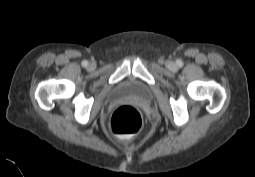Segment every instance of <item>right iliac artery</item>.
I'll return each instance as SVG.
<instances>
[{
	"label": "right iliac artery",
	"mask_w": 255,
	"mask_h": 177,
	"mask_svg": "<svg viewBox=\"0 0 255 177\" xmlns=\"http://www.w3.org/2000/svg\"><path fill=\"white\" fill-rule=\"evenodd\" d=\"M82 66L83 67H87L88 66V62L86 60L82 61Z\"/></svg>",
	"instance_id": "obj_1"
}]
</instances>
